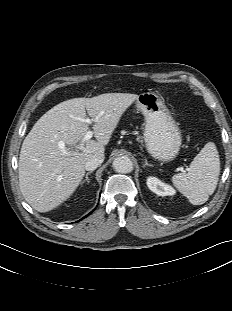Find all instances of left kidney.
<instances>
[{
  "instance_id": "5707ae66",
  "label": "left kidney",
  "mask_w": 232,
  "mask_h": 311,
  "mask_svg": "<svg viewBox=\"0 0 232 311\" xmlns=\"http://www.w3.org/2000/svg\"><path fill=\"white\" fill-rule=\"evenodd\" d=\"M146 183L148 188L159 196L174 195L176 193L173 187L162 182L156 177H148Z\"/></svg>"
}]
</instances>
